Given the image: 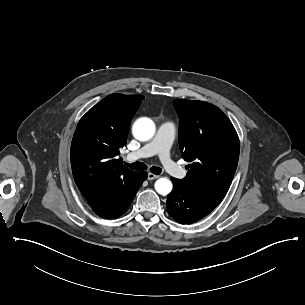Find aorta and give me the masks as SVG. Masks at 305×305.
Segmentation results:
<instances>
[{
  "label": "aorta",
  "mask_w": 305,
  "mask_h": 305,
  "mask_svg": "<svg viewBox=\"0 0 305 305\" xmlns=\"http://www.w3.org/2000/svg\"><path fill=\"white\" fill-rule=\"evenodd\" d=\"M132 133L137 140L148 141L155 133V124L149 118H140L134 123ZM154 186L157 193L163 196L168 195L173 189L172 182L167 178H159Z\"/></svg>",
  "instance_id": "aorta-1"
}]
</instances>
